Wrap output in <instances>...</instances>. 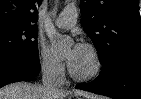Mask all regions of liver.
Returning a JSON list of instances; mask_svg holds the SVG:
<instances>
[{
	"mask_svg": "<svg viewBox=\"0 0 141 99\" xmlns=\"http://www.w3.org/2000/svg\"><path fill=\"white\" fill-rule=\"evenodd\" d=\"M76 96L86 99H96L93 94L75 91ZM68 92L56 89H46L43 85L28 82H16L0 89V99H66Z\"/></svg>",
	"mask_w": 141,
	"mask_h": 99,
	"instance_id": "1",
	"label": "liver"
}]
</instances>
